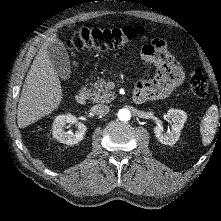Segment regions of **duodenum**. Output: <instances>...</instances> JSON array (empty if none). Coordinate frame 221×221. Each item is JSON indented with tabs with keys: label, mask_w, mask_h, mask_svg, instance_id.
<instances>
[{
	"label": "duodenum",
	"mask_w": 221,
	"mask_h": 221,
	"mask_svg": "<svg viewBox=\"0 0 221 221\" xmlns=\"http://www.w3.org/2000/svg\"><path fill=\"white\" fill-rule=\"evenodd\" d=\"M88 99V92L86 90H80L76 95V102L78 104H85ZM133 100L137 104L144 103L147 101V97L140 92H134L133 94Z\"/></svg>",
	"instance_id": "410a0bca"
}]
</instances>
